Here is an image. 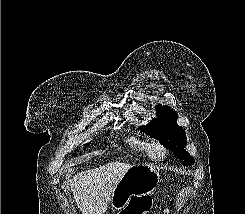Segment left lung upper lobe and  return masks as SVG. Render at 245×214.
<instances>
[{
	"label": "left lung upper lobe",
	"mask_w": 245,
	"mask_h": 214,
	"mask_svg": "<svg viewBox=\"0 0 245 214\" xmlns=\"http://www.w3.org/2000/svg\"><path fill=\"white\" fill-rule=\"evenodd\" d=\"M157 119H152L146 127L140 126L145 133L169 149L173 154L184 160V166L194 164V158L184 149L187 143L185 130L176 124L177 113L168 106H156Z\"/></svg>",
	"instance_id": "5c2ea615"
}]
</instances>
